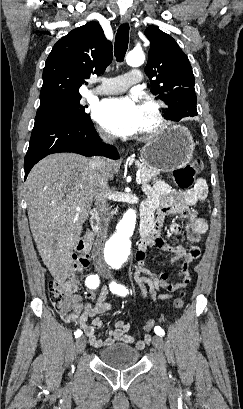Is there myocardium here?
Masks as SVG:
<instances>
[{
    "label": "myocardium",
    "instance_id": "1",
    "mask_svg": "<svg viewBox=\"0 0 243 409\" xmlns=\"http://www.w3.org/2000/svg\"><path fill=\"white\" fill-rule=\"evenodd\" d=\"M142 104L149 107L154 117V125L148 129L140 131V135L143 137H152L163 132L168 125V121L164 114V106L162 102L157 100L153 95H142Z\"/></svg>",
    "mask_w": 243,
    "mask_h": 409
}]
</instances>
